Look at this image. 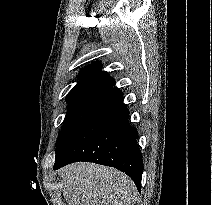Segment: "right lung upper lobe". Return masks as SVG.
<instances>
[{
	"mask_svg": "<svg viewBox=\"0 0 212 205\" xmlns=\"http://www.w3.org/2000/svg\"><path fill=\"white\" fill-rule=\"evenodd\" d=\"M100 62L83 68L78 75L80 81L68 93L66 101L102 96L115 83L114 79L101 70Z\"/></svg>",
	"mask_w": 212,
	"mask_h": 205,
	"instance_id": "obj_1",
	"label": "right lung upper lobe"
}]
</instances>
